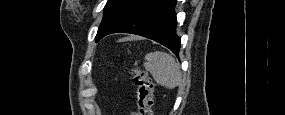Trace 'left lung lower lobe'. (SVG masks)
<instances>
[{"mask_svg": "<svg viewBox=\"0 0 285 115\" xmlns=\"http://www.w3.org/2000/svg\"><path fill=\"white\" fill-rule=\"evenodd\" d=\"M175 5L176 0H130L109 21L100 39L117 32L137 34L178 55L180 38L176 35Z\"/></svg>", "mask_w": 285, "mask_h": 115, "instance_id": "left-lung-lower-lobe-1", "label": "left lung lower lobe"}]
</instances>
